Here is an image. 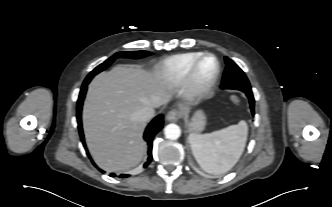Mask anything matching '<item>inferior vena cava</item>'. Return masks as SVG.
Segmentation results:
<instances>
[{"label": "inferior vena cava", "instance_id": "obj_1", "mask_svg": "<svg viewBox=\"0 0 332 207\" xmlns=\"http://www.w3.org/2000/svg\"><path fill=\"white\" fill-rule=\"evenodd\" d=\"M154 114H155L154 107L150 106L144 107L135 113L137 119L143 122L150 120L154 116Z\"/></svg>", "mask_w": 332, "mask_h": 207}]
</instances>
